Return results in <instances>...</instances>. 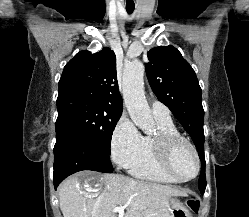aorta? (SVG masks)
I'll return each instance as SVG.
<instances>
[{
  "label": "aorta",
  "instance_id": "obj_1",
  "mask_svg": "<svg viewBox=\"0 0 249 217\" xmlns=\"http://www.w3.org/2000/svg\"><path fill=\"white\" fill-rule=\"evenodd\" d=\"M144 65L133 62L123 74V96L125 105L134 124L142 131L151 132L154 121L144 94Z\"/></svg>",
  "mask_w": 249,
  "mask_h": 217
}]
</instances>
